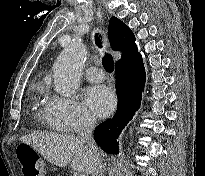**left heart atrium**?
I'll list each match as a JSON object with an SVG mask.
<instances>
[{"mask_svg": "<svg viewBox=\"0 0 205 176\" xmlns=\"http://www.w3.org/2000/svg\"><path fill=\"white\" fill-rule=\"evenodd\" d=\"M85 101L92 113L99 117L109 115L115 108L116 98L105 86H92L85 92Z\"/></svg>", "mask_w": 205, "mask_h": 176, "instance_id": "1", "label": "left heart atrium"}]
</instances>
